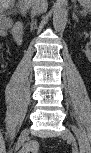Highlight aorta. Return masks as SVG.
<instances>
[{
    "mask_svg": "<svg viewBox=\"0 0 91 153\" xmlns=\"http://www.w3.org/2000/svg\"><path fill=\"white\" fill-rule=\"evenodd\" d=\"M66 0H57L53 10V26L55 31H61L67 21L68 11Z\"/></svg>",
    "mask_w": 91,
    "mask_h": 153,
    "instance_id": "aorta-1",
    "label": "aorta"
}]
</instances>
